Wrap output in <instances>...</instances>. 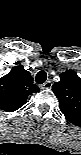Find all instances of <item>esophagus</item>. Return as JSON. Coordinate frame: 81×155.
<instances>
[{"label":"esophagus","mask_w":81,"mask_h":155,"mask_svg":"<svg viewBox=\"0 0 81 155\" xmlns=\"http://www.w3.org/2000/svg\"><path fill=\"white\" fill-rule=\"evenodd\" d=\"M52 87V82L50 80L46 81L41 85V89H51Z\"/></svg>","instance_id":"1"}]
</instances>
